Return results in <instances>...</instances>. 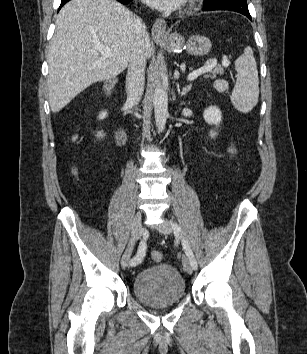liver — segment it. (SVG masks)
Masks as SVG:
<instances>
[{"label":"liver","instance_id":"obj_1","mask_svg":"<svg viewBox=\"0 0 307 354\" xmlns=\"http://www.w3.org/2000/svg\"><path fill=\"white\" fill-rule=\"evenodd\" d=\"M136 17L116 0H71L56 18L48 52V91L59 112L93 83L115 78L129 65L136 41ZM112 49L103 57L97 46ZM145 54L152 55L148 37Z\"/></svg>","mask_w":307,"mask_h":354}]
</instances>
